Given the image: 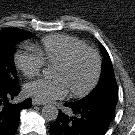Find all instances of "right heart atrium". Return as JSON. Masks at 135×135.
<instances>
[{
	"instance_id": "1",
	"label": "right heart atrium",
	"mask_w": 135,
	"mask_h": 135,
	"mask_svg": "<svg viewBox=\"0 0 135 135\" xmlns=\"http://www.w3.org/2000/svg\"><path fill=\"white\" fill-rule=\"evenodd\" d=\"M14 61L18 70L27 78L38 75L44 66L41 56L35 50L18 51L14 56Z\"/></svg>"
}]
</instances>
